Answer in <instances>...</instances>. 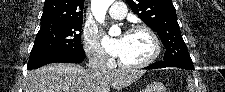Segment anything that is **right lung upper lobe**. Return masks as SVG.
Segmentation results:
<instances>
[{
  "label": "right lung upper lobe",
  "mask_w": 225,
  "mask_h": 92,
  "mask_svg": "<svg viewBox=\"0 0 225 92\" xmlns=\"http://www.w3.org/2000/svg\"><path fill=\"white\" fill-rule=\"evenodd\" d=\"M84 0H45L41 24L83 22Z\"/></svg>",
  "instance_id": "1"
}]
</instances>
